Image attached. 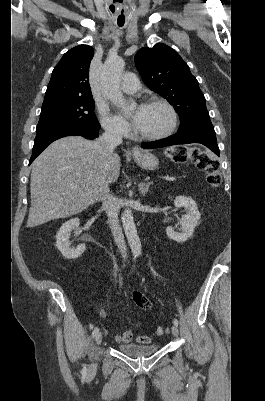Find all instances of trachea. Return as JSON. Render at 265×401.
Returning <instances> with one entry per match:
<instances>
[{
	"instance_id": "3493384b",
	"label": "trachea",
	"mask_w": 265,
	"mask_h": 401,
	"mask_svg": "<svg viewBox=\"0 0 265 401\" xmlns=\"http://www.w3.org/2000/svg\"><path fill=\"white\" fill-rule=\"evenodd\" d=\"M119 25V27H122L124 24L123 23H120V24H118Z\"/></svg>"
}]
</instances>
